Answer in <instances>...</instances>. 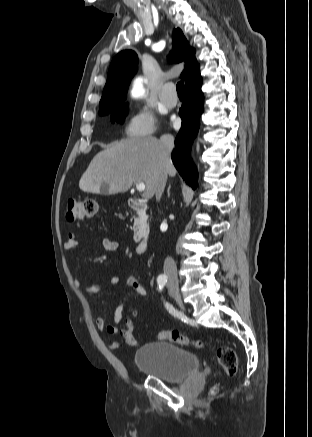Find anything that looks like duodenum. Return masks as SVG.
Masks as SVG:
<instances>
[{
  "mask_svg": "<svg viewBox=\"0 0 312 437\" xmlns=\"http://www.w3.org/2000/svg\"><path fill=\"white\" fill-rule=\"evenodd\" d=\"M129 205L131 209L136 211L140 216L145 215L148 209L147 204L140 199H134V198L130 199ZM147 248H148V240L145 237H142L136 243L135 250L138 255H142L147 251Z\"/></svg>",
  "mask_w": 312,
  "mask_h": 437,
  "instance_id": "duodenum-1",
  "label": "duodenum"
}]
</instances>
